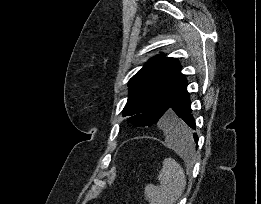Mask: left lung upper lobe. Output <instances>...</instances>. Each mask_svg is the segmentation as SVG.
Returning <instances> with one entry per match:
<instances>
[{
  "label": "left lung upper lobe",
  "instance_id": "5c2ea615",
  "mask_svg": "<svg viewBox=\"0 0 261 204\" xmlns=\"http://www.w3.org/2000/svg\"><path fill=\"white\" fill-rule=\"evenodd\" d=\"M186 78L175 58H152L129 81L123 116L134 126L163 123Z\"/></svg>",
  "mask_w": 261,
  "mask_h": 204
}]
</instances>
